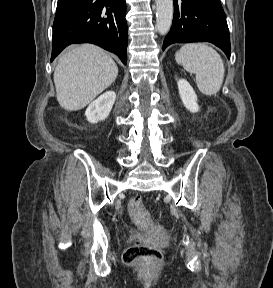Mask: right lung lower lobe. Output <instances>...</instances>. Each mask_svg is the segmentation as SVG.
Wrapping results in <instances>:
<instances>
[{
	"mask_svg": "<svg viewBox=\"0 0 273 288\" xmlns=\"http://www.w3.org/2000/svg\"><path fill=\"white\" fill-rule=\"evenodd\" d=\"M125 0H58L51 61L69 44L93 43L127 63Z\"/></svg>",
	"mask_w": 273,
	"mask_h": 288,
	"instance_id": "98d812e1",
	"label": "right lung lower lobe"
}]
</instances>
